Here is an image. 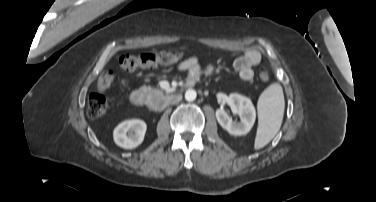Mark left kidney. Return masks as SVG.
Listing matches in <instances>:
<instances>
[{
  "mask_svg": "<svg viewBox=\"0 0 376 202\" xmlns=\"http://www.w3.org/2000/svg\"><path fill=\"white\" fill-rule=\"evenodd\" d=\"M229 104L241 116V122H234L222 109L216 111V118L221 127L231 135H246L254 125L256 111L251 100L237 93H231L228 97Z\"/></svg>",
  "mask_w": 376,
  "mask_h": 202,
  "instance_id": "left-kidney-1",
  "label": "left kidney"
}]
</instances>
